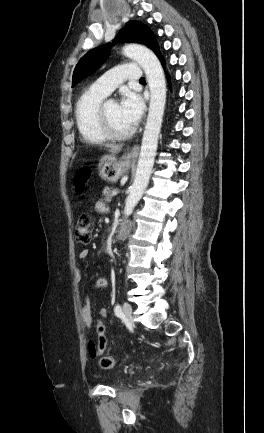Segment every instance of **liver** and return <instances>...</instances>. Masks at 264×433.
Listing matches in <instances>:
<instances>
[{"label": "liver", "instance_id": "6515ba94", "mask_svg": "<svg viewBox=\"0 0 264 433\" xmlns=\"http://www.w3.org/2000/svg\"><path fill=\"white\" fill-rule=\"evenodd\" d=\"M105 146L107 148H110L112 153H117L118 151L121 150V146L120 145L106 144Z\"/></svg>", "mask_w": 264, "mask_h": 433}]
</instances>
